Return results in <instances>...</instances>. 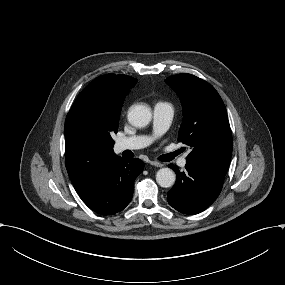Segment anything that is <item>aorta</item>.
Instances as JSON below:
<instances>
[{
    "label": "aorta",
    "instance_id": "obj_1",
    "mask_svg": "<svg viewBox=\"0 0 285 285\" xmlns=\"http://www.w3.org/2000/svg\"><path fill=\"white\" fill-rule=\"evenodd\" d=\"M151 119V109L145 105H135L128 112V121L134 127H145ZM156 181L161 187L169 188L174 185L176 175L170 168H161L156 174Z\"/></svg>",
    "mask_w": 285,
    "mask_h": 285
}]
</instances>
